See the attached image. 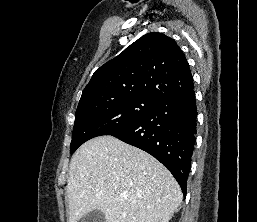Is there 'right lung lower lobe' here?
Wrapping results in <instances>:
<instances>
[{
  "instance_id": "1",
  "label": "right lung lower lobe",
  "mask_w": 257,
  "mask_h": 222,
  "mask_svg": "<svg viewBox=\"0 0 257 222\" xmlns=\"http://www.w3.org/2000/svg\"><path fill=\"white\" fill-rule=\"evenodd\" d=\"M196 118L193 86L163 98L143 118L112 136L159 160L175 177L185 196L196 141Z\"/></svg>"
}]
</instances>
